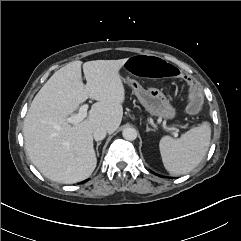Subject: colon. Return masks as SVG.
Listing matches in <instances>:
<instances>
[{"label":"colon","instance_id":"1","mask_svg":"<svg viewBox=\"0 0 241 241\" xmlns=\"http://www.w3.org/2000/svg\"><path fill=\"white\" fill-rule=\"evenodd\" d=\"M124 66L128 72L138 73L143 77L176 80L181 75V68L176 63L145 52L139 53L137 56L128 57ZM186 85L188 89L196 93L190 96L188 110L191 113H197L202 106V98L197 94L200 90L197 85L190 81Z\"/></svg>","mask_w":241,"mask_h":241}]
</instances>
